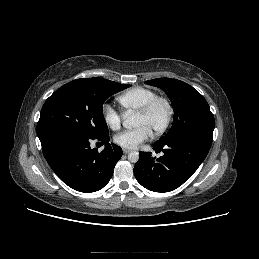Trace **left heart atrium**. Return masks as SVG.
Listing matches in <instances>:
<instances>
[{"label": "left heart atrium", "mask_w": 259, "mask_h": 259, "mask_svg": "<svg viewBox=\"0 0 259 259\" xmlns=\"http://www.w3.org/2000/svg\"><path fill=\"white\" fill-rule=\"evenodd\" d=\"M152 130L147 126H139L132 130L118 133L114 137V142L124 149H136L140 144L149 140Z\"/></svg>", "instance_id": "left-heart-atrium-1"}]
</instances>
